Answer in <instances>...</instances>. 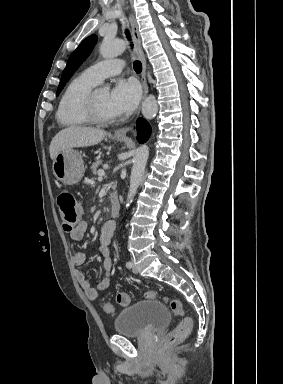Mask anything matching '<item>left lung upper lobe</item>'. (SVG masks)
<instances>
[{
  "label": "left lung upper lobe",
  "instance_id": "1",
  "mask_svg": "<svg viewBox=\"0 0 283 384\" xmlns=\"http://www.w3.org/2000/svg\"><path fill=\"white\" fill-rule=\"evenodd\" d=\"M97 36L91 35L84 39L80 45L77 47V49L71 54L67 66L64 69L61 81L59 83L58 89H57V95L60 93L66 82L70 79V77L73 75L75 70L82 64V62L89 56L91 53L94 45L97 42Z\"/></svg>",
  "mask_w": 283,
  "mask_h": 384
}]
</instances>
